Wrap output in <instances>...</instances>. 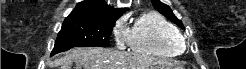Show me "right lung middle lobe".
Listing matches in <instances>:
<instances>
[{"mask_svg":"<svg viewBox=\"0 0 246 69\" xmlns=\"http://www.w3.org/2000/svg\"><path fill=\"white\" fill-rule=\"evenodd\" d=\"M115 21L65 20L51 55L72 47H107Z\"/></svg>","mask_w":246,"mask_h":69,"instance_id":"right-lung-middle-lobe-1","label":"right lung middle lobe"}]
</instances>
